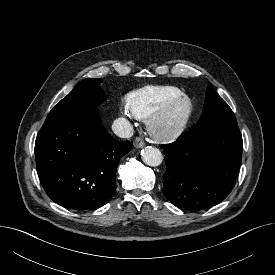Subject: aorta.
<instances>
[{"label":"aorta","instance_id":"1","mask_svg":"<svg viewBox=\"0 0 275 275\" xmlns=\"http://www.w3.org/2000/svg\"><path fill=\"white\" fill-rule=\"evenodd\" d=\"M143 162L151 167L159 166L162 163V153L159 149L147 146L141 151Z\"/></svg>","mask_w":275,"mask_h":275}]
</instances>
